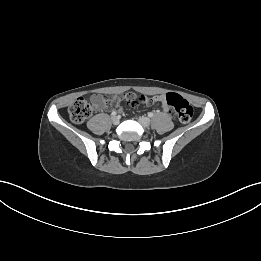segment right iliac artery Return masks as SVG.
<instances>
[{
	"label": "right iliac artery",
	"instance_id": "obj_1",
	"mask_svg": "<svg viewBox=\"0 0 261 261\" xmlns=\"http://www.w3.org/2000/svg\"><path fill=\"white\" fill-rule=\"evenodd\" d=\"M111 115H112V116H115V115H116V112H115V111H113V112L111 113Z\"/></svg>",
	"mask_w": 261,
	"mask_h": 261
}]
</instances>
